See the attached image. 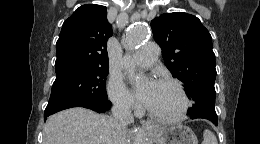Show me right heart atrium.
<instances>
[{
    "label": "right heart atrium",
    "mask_w": 260,
    "mask_h": 144,
    "mask_svg": "<svg viewBox=\"0 0 260 144\" xmlns=\"http://www.w3.org/2000/svg\"><path fill=\"white\" fill-rule=\"evenodd\" d=\"M107 92L112 103L119 109L132 110L137 107L133 94L121 76L112 75L109 78Z\"/></svg>",
    "instance_id": "obj_1"
}]
</instances>
